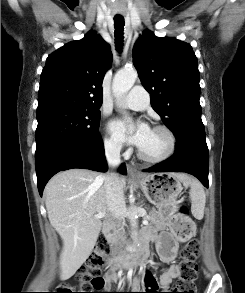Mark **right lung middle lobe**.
<instances>
[{
  "label": "right lung middle lobe",
  "mask_w": 245,
  "mask_h": 293,
  "mask_svg": "<svg viewBox=\"0 0 245 293\" xmlns=\"http://www.w3.org/2000/svg\"><path fill=\"white\" fill-rule=\"evenodd\" d=\"M36 114L35 161L62 144L100 140L98 109L57 105L37 109Z\"/></svg>",
  "instance_id": "dd1d6c3e"
}]
</instances>
